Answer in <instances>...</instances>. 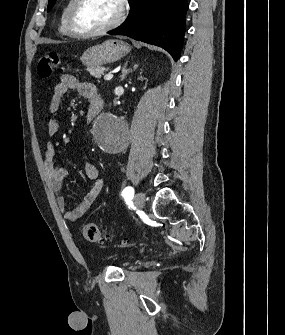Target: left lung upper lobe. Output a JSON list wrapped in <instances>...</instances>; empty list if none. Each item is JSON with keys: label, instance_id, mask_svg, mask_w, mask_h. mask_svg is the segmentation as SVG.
Masks as SVG:
<instances>
[{"label": "left lung upper lobe", "instance_id": "5c2ea615", "mask_svg": "<svg viewBox=\"0 0 285 335\" xmlns=\"http://www.w3.org/2000/svg\"><path fill=\"white\" fill-rule=\"evenodd\" d=\"M56 0H49L48 3V11L53 7V5L55 4Z\"/></svg>", "mask_w": 285, "mask_h": 335}]
</instances>
